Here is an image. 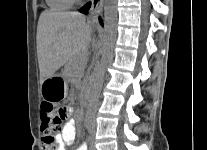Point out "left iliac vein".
<instances>
[{
  "instance_id": "1",
  "label": "left iliac vein",
  "mask_w": 207,
  "mask_h": 150,
  "mask_svg": "<svg viewBox=\"0 0 207 150\" xmlns=\"http://www.w3.org/2000/svg\"><path fill=\"white\" fill-rule=\"evenodd\" d=\"M89 150H96L93 142L90 143Z\"/></svg>"
}]
</instances>
